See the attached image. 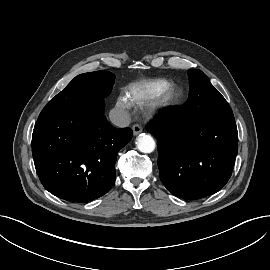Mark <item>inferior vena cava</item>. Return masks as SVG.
<instances>
[{"label": "inferior vena cava", "instance_id": "inferior-vena-cava-1", "mask_svg": "<svg viewBox=\"0 0 270 270\" xmlns=\"http://www.w3.org/2000/svg\"><path fill=\"white\" fill-rule=\"evenodd\" d=\"M109 118L111 122L118 127H127L131 122L129 114L120 108H113L109 112Z\"/></svg>", "mask_w": 270, "mask_h": 270}]
</instances>
